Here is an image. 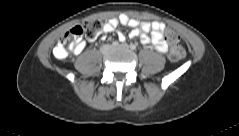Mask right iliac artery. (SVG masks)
<instances>
[{"label": "right iliac artery", "mask_w": 239, "mask_h": 136, "mask_svg": "<svg viewBox=\"0 0 239 136\" xmlns=\"http://www.w3.org/2000/svg\"><path fill=\"white\" fill-rule=\"evenodd\" d=\"M119 43L117 42V41H114L113 43H112V45L113 46H117Z\"/></svg>", "instance_id": "1"}]
</instances>
